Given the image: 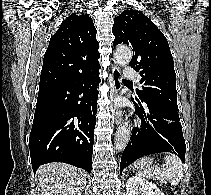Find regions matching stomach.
<instances>
[{"label": "stomach", "mask_w": 211, "mask_h": 195, "mask_svg": "<svg viewBox=\"0 0 211 195\" xmlns=\"http://www.w3.org/2000/svg\"><path fill=\"white\" fill-rule=\"evenodd\" d=\"M152 163H153V158L143 157L133 164V168L139 169V170L148 169L150 168Z\"/></svg>", "instance_id": "0dacf381"}]
</instances>
